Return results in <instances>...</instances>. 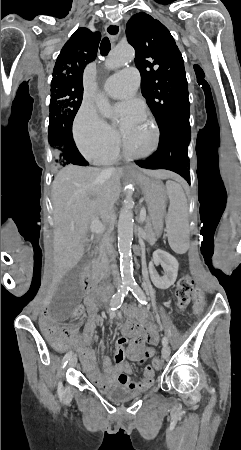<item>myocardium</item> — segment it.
Returning <instances> with one entry per match:
<instances>
[{
    "label": "myocardium",
    "instance_id": "myocardium-1",
    "mask_svg": "<svg viewBox=\"0 0 241 450\" xmlns=\"http://www.w3.org/2000/svg\"><path fill=\"white\" fill-rule=\"evenodd\" d=\"M149 126L156 127V122H150ZM152 133H153V137L151 140L148 141L150 148H148V152H146V153H139L140 157H152L153 149L154 150L157 149L158 146H157V144H155V142H158L159 131L155 129V130H153Z\"/></svg>",
    "mask_w": 241,
    "mask_h": 450
}]
</instances>
